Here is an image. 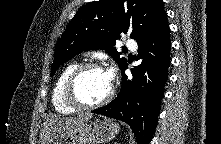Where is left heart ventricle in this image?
Listing matches in <instances>:
<instances>
[{
    "mask_svg": "<svg viewBox=\"0 0 221 144\" xmlns=\"http://www.w3.org/2000/svg\"><path fill=\"white\" fill-rule=\"evenodd\" d=\"M110 86L111 83L104 70L90 69L79 78L76 91L83 102L95 103L108 93Z\"/></svg>",
    "mask_w": 221,
    "mask_h": 144,
    "instance_id": "1",
    "label": "left heart ventricle"
}]
</instances>
